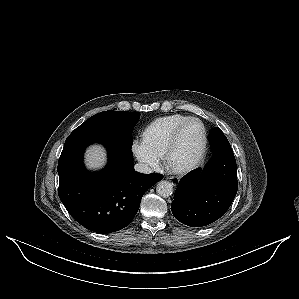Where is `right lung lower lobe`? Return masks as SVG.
Returning a JSON list of instances; mask_svg holds the SVG:
<instances>
[{
	"instance_id": "1",
	"label": "right lung lower lobe",
	"mask_w": 299,
	"mask_h": 299,
	"mask_svg": "<svg viewBox=\"0 0 299 299\" xmlns=\"http://www.w3.org/2000/svg\"><path fill=\"white\" fill-rule=\"evenodd\" d=\"M100 142L108 150V164L89 173L83 152ZM59 198L69 214L85 228L107 234L126 227L136 215L143 194L160 174H141L133 168L131 148L115 140L69 136L58 162Z\"/></svg>"
}]
</instances>
